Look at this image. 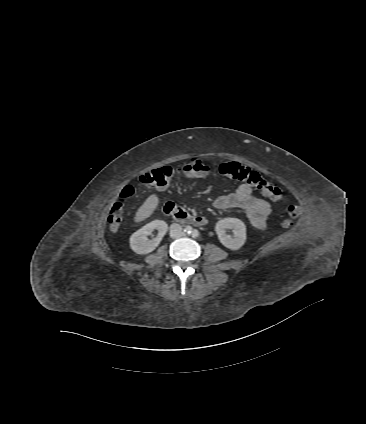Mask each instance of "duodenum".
Masks as SVG:
<instances>
[{"label":"duodenum","instance_id":"410a0bca","mask_svg":"<svg viewBox=\"0 0 366 424\" xmlns=\"http://www.w3.org/2000/svg\"><path fill=\"white\" fill-rule=\"evenodd\" d=\"M165 214L173 217L177 222L180 223H189L196 226H205L207 224V220L203 216L191 215L186 212L184 209L176 206L172 202H168L164 206Z\"/></svg>","mask_w":366,"mask_h":424}]
</instances>
